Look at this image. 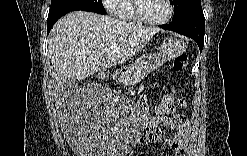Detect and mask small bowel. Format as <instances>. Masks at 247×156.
<instances>
[{
  "label": "small bowel",
  "mask_w": 247,
  "mask_h": 156,
  "mask_svg": "<svg viewBox=\"0 0 247 156\" xmlns=\"http://www.w3.org/2000/svg\"><path fill=\"white\" fill-rule=\"evenodd\" d=\"M167 98V95L164 97ZM174 106H171V112H164L167 114L166 118H163V121H159L158 124H154L152 121V117L146 116V122L152 128H154V125L159 126H168L171 129L174 130L173 136L169 138H160V140L164 141L170 146L171 154L173 155H184L186 151V141L189 135V125L186 121L185 117L177 113L175 111L177 105H181L182 103L180 101H177L175 97L173 98ZM144 110H146V105L144 104ZM158 139V130L157 133L153 137L147 136L145 134L142 138V142H148Z\"/></svg>",
  "instance_id": "c3829d8e"
}]
</instances>
